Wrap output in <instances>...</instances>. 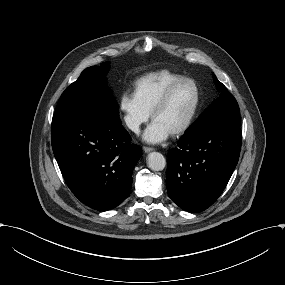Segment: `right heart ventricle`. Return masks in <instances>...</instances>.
Here are the masks:
<instances>
[{
  "label": "right heart ventricle",
  "mask_w": 285,
  "mask_h": 285,
  "mask_svg": "<svg viewBox=\"0 0 285 285\" xmlns=\"http://www.w3.org/2000/svg\"><path fill=\"white\" fill-rule=\"evenodd\" d=\"M183 76L168 70L148 73L137 80L135 91L144 106L151 112L164 91Z\"/></svg>",
  "instance_id": "e07e8e85"
}]
</instances>
